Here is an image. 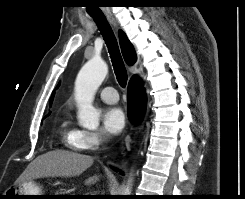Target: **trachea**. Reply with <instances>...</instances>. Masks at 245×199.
<instances>
[{
	"mask_svg": "<svg viewBox=\"0 0 245 199\" xmlns=\"http://www.w3.org/2000/svg\"><path fill=\"white\" fill-rule=\"evenodd\" d=\"M96 22L103 38L107 44L116 79L121 87H125L127 83V71L119 51L118 43L115 35L104 15L92 16Z\"/></svg>",
	"mask_w": 245,
	"mask_h": 199,
	"instance_id": "1",
	"label": "trachea"
}]
</instances>
